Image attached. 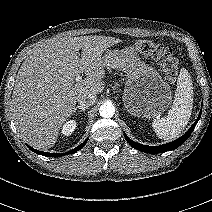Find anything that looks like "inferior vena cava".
Wrapping results in <instances>:
<instances>
[{"instance_id":"602c4592","label":"inferior vena cava","mask_w":212,"mask_h":212,"mask_svg":"<svg viewBox=\"0 0 212 212\" xmlns=\"http://www.w3.org/2000/svg\"><path fill=\"white\" fill-rule=\"evenodd\" d=\"M97 96L94 93H82L77 97L78 103L83 107H88L96 102Z\"/></svg>"}]
</instances>
